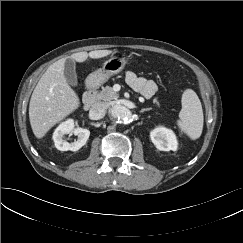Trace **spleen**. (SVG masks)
<instances>
[{"mask_svg":"<svg viewBox=\"0 0 243 243\" xmlns=\"http://www.w3.org/2000/svg\"><path fill=\"white\" fill-rule=\"evenodd\" d=\"M182 110L177 120L178 128L192 140L198 139L203 130V109L197 94L192 89H186L182 94Z\"/></svg>","mask_w":243,"mask_h":243,"instance_id":"spleen-1","label":"spleen"}]
</instances>
